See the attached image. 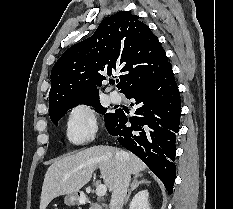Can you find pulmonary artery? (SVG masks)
<instances>
[{"label":"pulmonary artery","instance_id":"pulmonary-artery-1","mask_svg":"<svg viewBox=\"0 0 233 209\" xmlns=\"http://www.w3.org/2000/svg\"><path fill=\"white\" fill-rule=\"evenodd\" d=\"M109 97H110V100H111L112 103L116 104V103L121 102V96H120V94L117 93V92H115V91L111 92L109 94Z\"/></svg>","mask_w":233,"mask_h":209}]
</instances>
